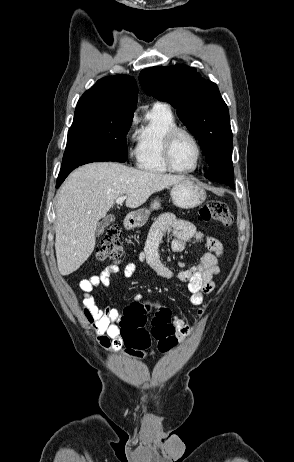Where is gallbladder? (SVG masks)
<instances>
[{
	"label": "gallbladder",
	"mask_w": 294,
	"mask_h": 462,
	"mask_svg": "<svg viewBox=\"0 0 294 462\" xmlns=\"http://www.w3.org/2000/svg\"><path fill=\"white\" fill-rule=\"evenodd\" d=\"M114 221V218L112 216H107L105 219H103L101 222L98 223L97 230L95 232L96 236H99L102 234L104 228L111 224Z\"/></svg>",
	"instance_id": "gallbladder-1"
}]
</instances>
